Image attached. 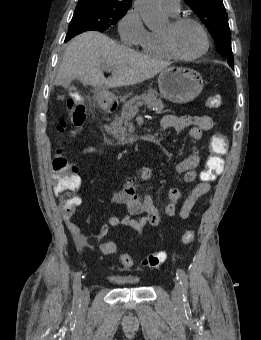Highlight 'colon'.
<instances>
[{"instance_id":"1","label":"colon","mask_w":261,"mask_h":340,"mask_svg":"<svg viewBox=\"0 0 261 340\" xmlns=\"http://www.w3.org/2000/svg\"><path fill=\"white\" fill-rule=\"evenodd\" d=\"M222 104L220 95L210 96L206 105L209 108H219ZM68 117L59 121L57 130L62 135L65 132L74 134L82 127L86 120L85 106L74 99L67 102ZM210 156L207 158L205 168L200 173V180L203 183H211L216 176L222 171L223 159L222 156L228 148V140L225 135L216 133L211 136L209 141ZM53 171V190L59 198L60 208L64 215H71L78 206L80 199L76 192L80 182L77 175V166L71 163L64 155L62 150H57V154L52 161ZM181 239L183 243H190L194 239V232L186 229ZM101 251L104 255H113L117 248L114 242L104 241L101 244ZM167 259L165 251H158L146 256L142 265L146 268H156L162 265ZM121 263L126 268H131L134 264L132 257L128 254L120 255Z\"/></svg>"}]
</instances>
